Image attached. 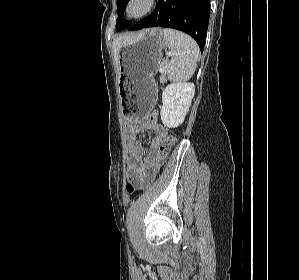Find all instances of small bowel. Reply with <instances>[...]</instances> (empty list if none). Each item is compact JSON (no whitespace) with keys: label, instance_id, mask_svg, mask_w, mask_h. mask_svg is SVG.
<instances>
[{"label":"small bowel","instance_id":"1","mask_svg":"<svg viewBox=\"0 0 299 280\" xmlns=\"http://www.w3.org/2000/svg\"><path fill=\"white\" fill-rule=\"evenodd\" d=\"M130 141L129 151L130 160L127 165V177L129 181L140 182L148 177L149 170L154 168L155 171L152 178L157 173L160 167L155 166L159 158L161 148L167 138V129L155 121H130ZM151 132L154 138L151 142L148 154L144 157V149L142 145L136 140L137 133Z\"/></svg>","mask_w":299,"mask_h":280}]
</instances>
